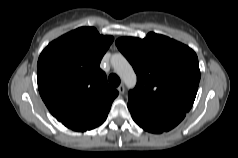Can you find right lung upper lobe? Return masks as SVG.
Instances as JSON below:
<instances>
[{
	"label": "right lung upper lobe",
	"instance_id": "right-lung-upper-lobe-1",
	"mask_svg": "<svg viewBox=\"0 0 238 158\" xmlns=\"http://www.w3.org/2000/svg\"><path fill=\"white\" fill-rule=\"evenodd\" d=\"M112 36L94 27H81L52 41L40 54L37 82L54 117L109 110L118 92L107 84L101 59Z\"/></svg>",
	"mask_w": 238,
	"mask_h": 158
}]
</instances>
